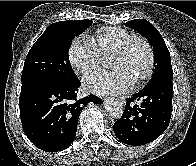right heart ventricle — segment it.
Listing matches in <instances>:
<instances>
[{"label":"right heart ventricle","instance_id":"obj_1","mask_svg":"<svg viewBox=\"0 0 196 166\" xmlns=\"http://www.w3.org/2000/svg\"><path fill=\"white\" fill-rule=\"evenodd\" d=\"M135 36L132 32L120 27L102 28L95 32L92 42L101 55H108L118 50L128 39Z\"/></svg>","mask_w":196,"mask_h":166}]
</instances>
